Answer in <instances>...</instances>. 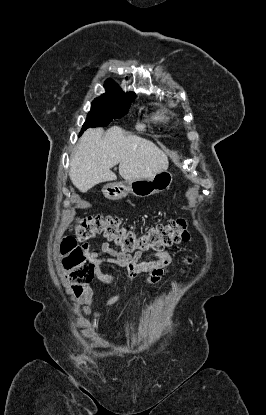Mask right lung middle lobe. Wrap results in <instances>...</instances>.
Returning a JSON list of instances; mask_svg holds the SVG:
<instances>
[{
  "label": "right lung middle lobe",
  "mask_w": 266,
  "mask_h": 415,
  "mask_svg": "<svg viewBox=\"0 0 266 415\" xmlns=\"http://www.w3.org/2000/svg\"><path fill=\"white\" fill-rule=\"evenodd\" d=\"M134 97L118 96L112 98L95 99L91 111L82 126L81 134L89 127L108 125L113 119L123 117L130 107Z\"/></svg>",
  "instance_id": "right-lung-middle-lobe-1"
}]
</instances>
